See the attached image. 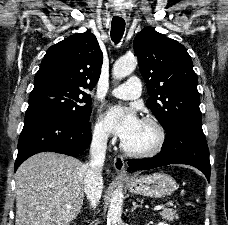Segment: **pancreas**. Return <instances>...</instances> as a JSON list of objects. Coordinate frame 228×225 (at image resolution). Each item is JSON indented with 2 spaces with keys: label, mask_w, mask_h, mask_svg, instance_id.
Instances as JSON below:
<instances>
[{
  "label": "pancreas",
  "mask_w": 228,
  "mask_h": 225,
  "mask_svg": "<svg viewBox=\"0 0 228 225\" xmlns=\"http://www.w3.org/2000/svg\"><path fill=\"white\" fill-rule=\"evenodd\" d=\"M162 219H166V221H174V219H179L178 215H176V209H163L161 213Z\"/></svg>",
  "instance_id": "pancreas-1"
}]
</instances>
